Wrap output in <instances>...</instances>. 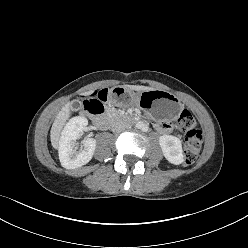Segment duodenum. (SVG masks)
I'll list each match as a JSON object with an SVG mask.
<instances>
[{
    "mask_svg": "<svg viewBox=\"0 0 248 248\" xmlns=\"http://www.w3.org/2000/svg\"><path fill=\"white\" fill-rule=\"evenodd\" d=\"M84 109L86 115L92 118L93 124L97 128L104 129L109 125L110 118L108 116L103 115L102 110H99L90 105H86ZM119 120L128 124L134 122V119L130 116H121L119 117Z\"/></svg>",
    "mask_w": 248,
    "mask_h": 248,
    "instance_id": "1",
    "label": "duodenum"
}]
</instances>
